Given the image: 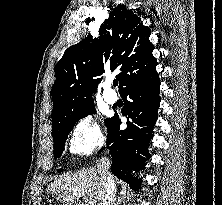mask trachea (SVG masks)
Instances as JSON below:
<instances>
[{
    "mask_svg": "<svg viewBox=\"0 0 222 205\" xmlns=\"http://www.w3.org/2000/svg\"><path fill=\"white\" fill-rule=\"evenodd\" d=\"M113 85L116 87L118 85V81H113Z\"/></svg>",
    "mask_w": 222,
    "mask_h": 205,
    "instance_id": "1",
    "label": "trachea"
}]
</instances>
